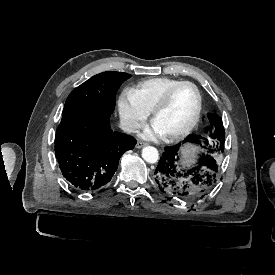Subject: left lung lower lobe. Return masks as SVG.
I'll use <instances>...</instances> for the list:
<instances>
[{
	"label": "left lung lower lobe",
	"mask_w": 275,
	"mask_h": 275,
	"mask_svg": "<svg viewBox=\"0 0 275 275\" xmlns=\"http://www.w3.org/2000/svg\"><path fill=\"white\" fill-rule=\"evenodd\" d=\"M179 146L164 148L154 171L155 184L168 199L203 197L217 182V169L200 162L189 169L179 168Z\"/></svg>",
	"instance_id": "0a47b994"
}]
</instances>
